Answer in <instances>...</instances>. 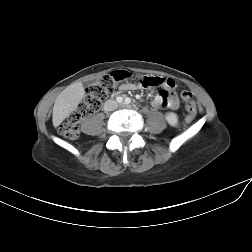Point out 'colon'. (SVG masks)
<instances>
[{"label":"colon","mask_w":252,"mask_h":252,"mask_svg":"<svg viewBox=\"0 0 252 252\" xmlns=\"http://www.w3.org/2000/svg\"><path fill=\"white\" fill-rule=\"evenodd\" d=\"M138 81L143 87H154L157 84L148 79V76L141 74L133 76L126 70H117L106 74L92 84L75 110L69 115L66 122L59 128L61 136L68 139H75L79 136L78 124L85 117L98 111L103 100L117 89L123 88L132 79ZM181 98L185 103L188 112L186 120L191 122L196 116V104L193 95L189 91H183Z\"/></svg>","instance_id":"5ec220e1"}]
</instances>
